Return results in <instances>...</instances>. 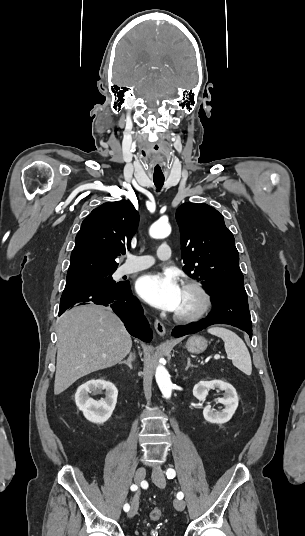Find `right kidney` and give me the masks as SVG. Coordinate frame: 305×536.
Segmentation results:
<instances>
[{
  "label": "right kidney",
  "instance_id": "obj_1",
  "mask_svg": "<svg viewBox=\"0 0 305 536\" xmlns=\"http://www.w3.org/2000/svg\"><path fill=\"white\" fill-rule=\"evenodd\" d=\"M102 390H105L106 398H101L98 402L89 398L90 392L101 394ZM117 396L118 390L114 384L100 378V380H88V382L79 386L75 394V402L77 408L83 412L86 420L94 422V424H103L112 416Z\"/></svg>",
  "mask_w": 305,
  "mask_h": 536
}]
</instances>
